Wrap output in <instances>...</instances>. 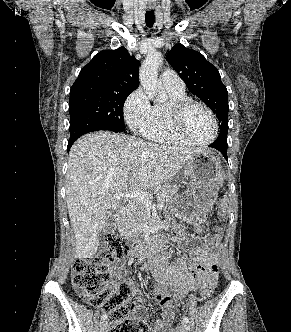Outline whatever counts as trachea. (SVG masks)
<instances>
[{
  "instance_id": "obj_1",
  "label": "trachea",
  "mask_w": 291,
  "mask_h": 332,
  "mask_svg": "<svg viewBox=\"0 0 291 332\" xmlns=\"http://www.w3.org/2000/svg\"><path fill=\"white\" fill-rule=\"evenodd\" d=\"M155 15L153 10H149L145 15V22L148 27H152L154 24Z\"/></svg>"
}]
</instances>
